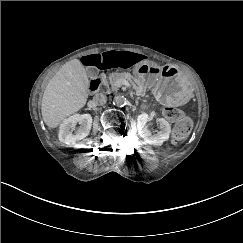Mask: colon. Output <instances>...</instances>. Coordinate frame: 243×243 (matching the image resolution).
<instances>
[{"label": "colon", "instance_id": "obj_1", "mask_svg": "<svg viewBox=\"0 0 243 243\" xmlns=\"http://www.w3.org/2000/svg\"><path fill=\"white\" fill-rule=\"evenodd\" d=\"M165 117L171 121L176 123L173 130V138L176 141L182 140L190 130V122L185 118L184 113L175 107H167L164 110Z\"/></svg>", "mask_w": 243, "mask_h": 243}]
</instances>
